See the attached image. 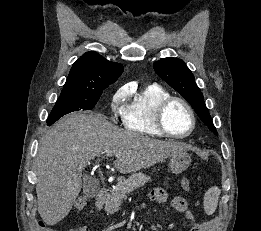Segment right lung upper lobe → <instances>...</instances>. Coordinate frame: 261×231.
<instances>
[{
    "label": "right lung upper lobe",
    "instance_id": "cb5924a9",
    "mask_svg": "<svg viewBox=\"0 0 261 231\" xmlns=\"http://www.w3.org/2000/svg\"><path fill=\"white\" fill-rule=\"evenodd\" d=\"M122 72L121 64L108 61L94 51L87 52L73 64L62 92L103 91Z\"/></svg>",
    "mask_w": 261,
    "mask_h": 231
}]
</instances>
